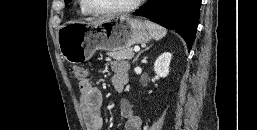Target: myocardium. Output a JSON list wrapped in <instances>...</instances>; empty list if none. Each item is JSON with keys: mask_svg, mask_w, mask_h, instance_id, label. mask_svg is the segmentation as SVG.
Returning a JSON list of instances; mask_svg holds the SVG:
<instances>
[{"mask_svg": "<svg viewBox=\"0 0 257 130\" xmlns=\"http://www.w3.org/2000/svg\"><path fill=\"white\" fill-rule=\"evenodd\" d=\"M83 5L85 9L93 15H114V14H123V13H128L133 10H135L143 0H133L130 4L123 6V7H118V8H111V9H96L94 8L89 0H82Z\"/></svg>", "mask_w": 257, "mask_h": 130, "instance_id": "f54148a6", "label": "myocardium"}]
</instances>
